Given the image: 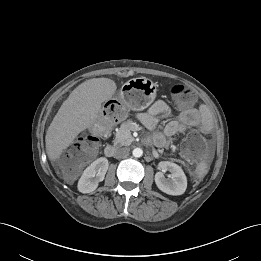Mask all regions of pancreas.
Masks as SVG:
<instances>
[{
    "label": "pancreas",
    "mask_w": 261,
    "mask_h": 261,
    "mask_svg": "<svg viewBox=\"0 0 261 261\" xmlns=\"http://www.w3.org/2000/svg\"><path fill=\"white\" fill-rule=\"evenodd\" d=\"M133 122L131 120H127L123 122L116 132L115 139L113 140L114 144L121 146L130 145L134 138L131 135V129L133 127Z\"/></svg>",
    "instance_id": "obj_1"
}]
</instances>
